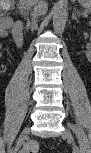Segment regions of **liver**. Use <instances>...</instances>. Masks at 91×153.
I'll return each mask as SVG.
<instances>
[{"label":"liver","instance_id":"1","mask_svg":"<svg viewBox=\"0 0 91 153\" xmlns=\"http://www.w3.org/2000/svg\"><path fill=\"white\" fill-rule=\"evenodd\" d=\"M34 0H20V8L21 9H28L30 6L33 5ZM14 3L13 0H1V5L8 9Z\"/></svg>","mask_w":91,"mask_h":153}]
</instances>
